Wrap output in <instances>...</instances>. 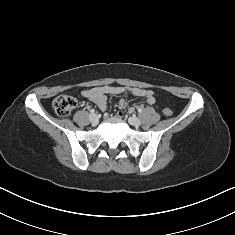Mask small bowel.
I'll return each mask as SVG.
<instances>
[{"label":"small bowel","instance_id":"obj_1","mask_svg":"<svg viewBox=\"0 0 235 235\" xmlns=\"http://www.w3.org/2000/svg\"><path fill=\"white\" fill-rule=\"evenodd\" d=\"M124 91H128L134 97L143 98L150 105H153L156 102L153 91L137 87L124 89L121 87L101 86L84 90L82 91L81 96L94 102L99 109L104 111L107 108V97L111 95H119ZM119 104L121 107H125L126 101L121 99Z\"/></svg>","mask_w":235,"mask_h":235}]
</instances>
